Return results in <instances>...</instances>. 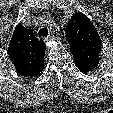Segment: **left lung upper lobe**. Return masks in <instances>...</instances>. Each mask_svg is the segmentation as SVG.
<instances>
[{"label":"left lung upper lobe","mask_w":113,"mask_h":113,"mask_svg":"<svg viewBox=\"0 0 113 113\" xmlns=\"http://www.w3.org/2000/svg\"><path fill=\"white\" fill-rule=\"evenodd\" d=\"M66 36L79 70L87 73L94 69L99 64L102 44L90 19L80 12L73 15L66 26Z\"/></svg>","instance_id":"left-lung-upper-lobe-1"}]
</instances>
